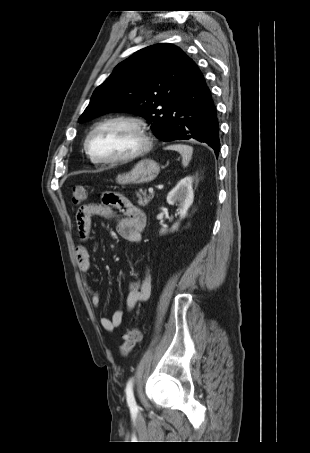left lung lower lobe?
Returning a JSON list of instances; mask_svg holds the SVG:
<instances>
[{
  "mask_svg": "<svg viewBox=\"0 0 310 453\" xmlns=\"http://www.w3.org/2000/svg\"><path fill=\"white\" fill-rule=\"evenodd\" d=\"M160 139H194L207 143L216 156L220 150L219 121L211 91L202 72L191 61L188 76L173 104Z\"/></svg>",
  "mask_w": 310,
  "mask_h": 453,
  "instance_id": "obj_1",
  "label": "left lung lower lobe"
}]
</instances>
